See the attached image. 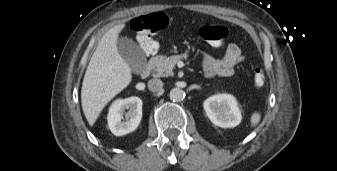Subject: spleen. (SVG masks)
Returning <instances> with one entry per match:
<instances>
[{
    "label": "spleen",
    "instance_id": "3e777b00",
    "mask_svg": "<svg viewBox=\"0 0 337 171\" xmlns=\"http://www.w3.org/2000/svg\"><path fill=\"white\" fill-rule=\"evenodd\" d=\"M261 120V114L258 112H254L252 113L251 117H250V123L252 127H255L258 125V123Z\"/></svg>",
    "mask_w": 337,
    "mask_h": 171
}]
</instances>
